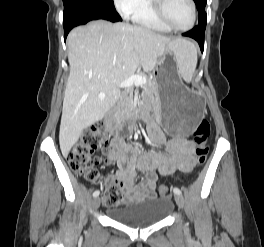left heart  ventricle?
I'll list each match as a JSON object with an SVG mask.
<instances>
[{"instance_id": "left-heart-ventricle-1", "label": "left heart ventricle", "mask_w": 264, "mask_h": 247, "mask_svg": "<svg viewBox=\"0 0 264 247\" xmlns=\"http://www.w3.org/2000/svg\"><path fill=\"white\" fill-rule=\"evenodd\" d=\"M164 11L168 20L175 26L185 27L192 18L191 5L188 0H164Z\"/></svg>"}]
</instances>
